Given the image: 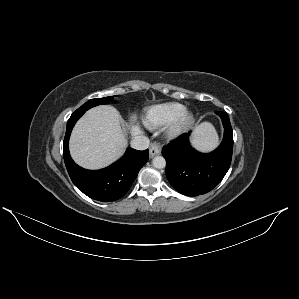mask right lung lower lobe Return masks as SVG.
I'll use <instances>...</instances> for the list:
<instances>
[{"mask_svg":"<svg viewBox=\"0 0 299 299\" xmlns=\"http://www.w3.org/2000/svg\"><path fill=\"white\" fill-rule=\"evenodd\" d=\"M85 111H75L67 122L64 138V162L72 182L88 197L98 201H115L130 189L139 170L148 161V149L128 148L124 156L101 170H86L78 166L69 153V137L73 126Z\"/></svg>","mask_w":299,"mask_h":299,"instance_id":"obj_1","label":"right lung lower lobe"}]
</instances>
